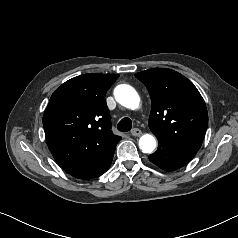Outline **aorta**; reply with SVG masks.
Returning a JSON list of instances; mask_svg holds the SVG:
<instances>
[{
	"label": "aorta",
	"mask_w": 238,
	"mask_h": 238,
	"mask_svg": "<svg viewBox=\"0 0 238 238\" xmlns=\"http://www.w3.org/2000/svg\"><path fill=\"white\" fill-rule=\"evenodd\" d=\"M114 96L119 104L128 109L135 110L140 105V97L136 90L130 85H118L114 89ZM156 146V139L151 134H144L139 139V148L143 153H152Z\"/></svg>",
	"instance_id": "aorta-1"
}]
</instances>
